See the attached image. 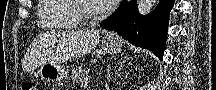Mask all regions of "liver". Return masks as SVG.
I'll list each match as a JSON object with an SVG mask.
<instances>
[{"instance_id":"1","label":"liver","mask_w":216,"mask_h":90,"mask_svg":"<svg viewBox=\"0 0 216 90\" xmlns=\"http://www.w3.org/2000/svg\"><path fill=\"white\" fill-rule=\"evenodd\" d=\"M99 42V32H95V30L65 32V46H67L68 60L89 54V52L97 48Z\"/></svg>"}]
</instances>
